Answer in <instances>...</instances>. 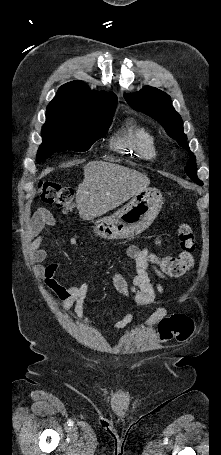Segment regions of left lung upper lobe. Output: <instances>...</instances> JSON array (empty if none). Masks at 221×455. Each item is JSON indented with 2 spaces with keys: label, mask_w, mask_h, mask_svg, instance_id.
I'll return each mask as SVG.
<instances>
[{
  "label": "left lung upper lobe",
  "mask_w": 221,
  "mask_h": 455,
  "mask_svg": "<svg viewBox=\"0 0 221 455\" xmlns=\"http://www.w3.org/2000/svg\"><path fill=\"white\" fill-rule=\"evenodd\" d=\"M125 99L135 110L144 112L157 120L170 137L188 150L191 158L186 164L185 171L193 181L201 185L202 183L197 177L195 156L189 150L187 137L183 133L182 119L173 108L170 96L157 88L147 86L137 93L125 95Z\"/></svg>",
  "instance_id": "5c2ea615"
}]
</instances>
